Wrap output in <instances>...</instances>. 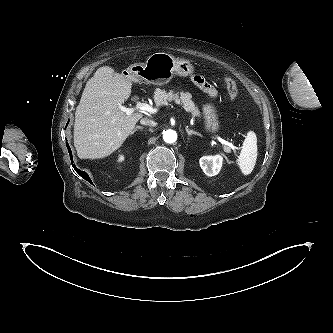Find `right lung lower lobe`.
<instances>
[{"mask_svg": "<svg viewBox=\"0 0 333 333\" xmlns=\"http://www.w3.org/2000/svg\"><path fill=\"white\" fill-rule=\"evenodd\" d=\"M66 145H67L68 152H69V154H70V158H71V162H72V166H73V168L75 169V171H76L81 177H83L85 180H87L88 182H90V183L92 184V181H91L90 177L88 176V174H87L86 172H84V171L79 170V169L73 164L71 149H70V147H69V145H68L67 142H66Z\"/></svg>", "mask_w": 333, "mask_h": 333, "instance_id": "obj_1", "label": "right lung lower lobe"}]
</instances>
